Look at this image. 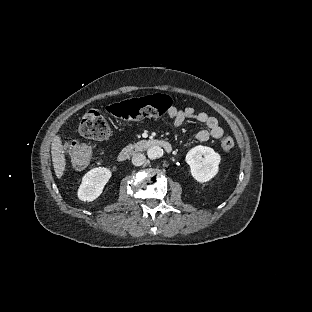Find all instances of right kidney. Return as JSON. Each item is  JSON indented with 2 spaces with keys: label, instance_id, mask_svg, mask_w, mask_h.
Returning a JSON list of instances; mask_svg holds the SVG:
<instances>
[{
  "label": "right kidney",
  "instance_id": "right-kidney-1",
  "mask_svg": "<svg viewBox=\"0 0 312 312\" xmlns=\"http://www.w3.org/2000/svg\"><path fill=\"white\" fill-rule=\"evenodd\" d=\"M111 175V171L105 167L91 169L82 178V183L78 189V198L89 202L95 200L102 193Z\"/></svg>",
  "mask_w": 312,
  "mask_h": 312
}]
</instances>
